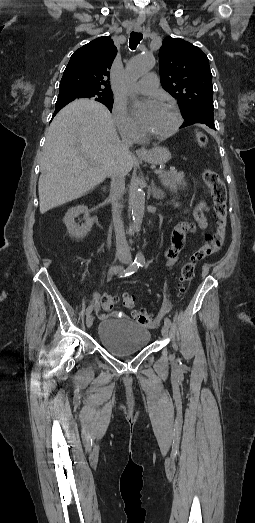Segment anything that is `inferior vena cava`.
<instances>
[{
  "instance_id": "1",
  "label": "inferior vena cava",
  "mask_w": 255,
  "mask_h": 523,
  "mask_svg": "<svg viewBox=\"0 0 255 523\" xmlns=\"http://www.w3.org/2000/svg\"><path fill=\"white\" fill-rule=\"evenodd\" d=\"M132 146V140L123 136V144L120 152H118L120 162H117L115 170L110 172L111 176V190L110 196L112 198V212L113 224L116 236V248L119 254H129V246L127 244L124 226L121 218V206L119 200L125 190V176L126 172L122 166L123 162L131 158L129 148Z\"/></svg>"
}]
</instances>
